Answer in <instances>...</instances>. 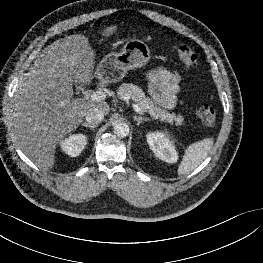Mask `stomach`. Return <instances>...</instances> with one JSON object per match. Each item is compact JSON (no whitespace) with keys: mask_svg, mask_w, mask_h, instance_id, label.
I'll use <instances>...</instances> for the list:
<instances>
[{"mask_svg":"<svg viewBox=\"0 0 263 263\" xmlns=\"http://www.w3.org/2000/svg\"><path fill=\"white\" fill-rule=\"evenodd\" d=\"M151 58V52L145 42L139 39H130L122 50L111 52L104 56L96 68V76L105 83H114L122 80L131 69L145 66Z\"/></svg>","mask_w":263,"mask_h":263,"instance_id":"stomach-1","label":"stomach"}]
</instances>
